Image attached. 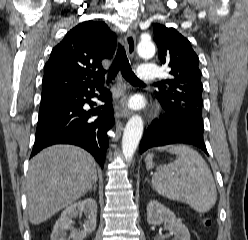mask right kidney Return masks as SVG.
Wrapping results in <instances>:
<instances>
[{
  "label": "right kidney",
  "mask_w": 248,
  "mask_h": 240,
  "mask_svg": "<svg viewBox=\"0 0 248 240\" xmlns=\"http://www.w3.org/2000/svg\"><path fill=\"white\" fill-rule=\"evenodd\" d=\"M86 216L82 230H72L69 238L66 231L71 229L73 219ZM97 203L92 198H87L82 201L71 204L61 213V216L56 221L51 234V240H84L87 234L91 233L96 228Z\"/></svg>",
  "instance_id": "ca27d5eb"
}]
</instances>
